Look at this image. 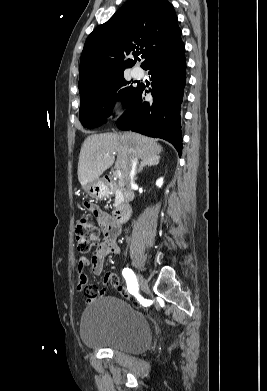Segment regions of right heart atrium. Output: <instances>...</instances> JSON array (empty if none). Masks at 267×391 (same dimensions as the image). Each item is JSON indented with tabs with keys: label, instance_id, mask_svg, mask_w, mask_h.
Returning a JSON list of instances; mask_svg holds the SVG:
<instances>
[{
	"label": "right heart atrium",
	"instance_id": "obj_1",
	"mask_svg": "<svg viewBox=\"0 0 267 391\" xmlns=\"http://www.w3.org/2000/svg\"><path fill=\"white\" fill-rule=\"evenodd\" d=\"M107 110H108L109 113H111L113 115H116V116H120L122 114V112H123L120 103L117 102V101H112L108 105Z\"/></svg>",
	"mask_w": 267,
	"mask_h": 391
}]
</instances>
